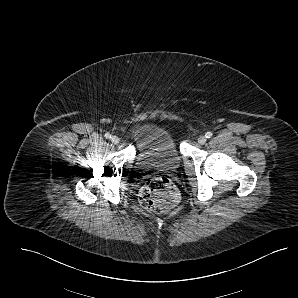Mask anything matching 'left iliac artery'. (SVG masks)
Segmentation results:
<instances>
[{"label":"left iliac artery","instance_id":"44dca946","mask_svg":"<svg viewBox=\"0 0 298 298\" xmlns=\"http://www.w3.org/2000/svg\"><path fill=\"white\" fill-rule=\"evenodd\" d=\"M212 132H206L205 137L206 138H211L212 137Z\"/></svg>","mask_w":298,"mask_h":298}]
</instances>
